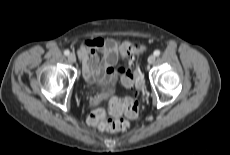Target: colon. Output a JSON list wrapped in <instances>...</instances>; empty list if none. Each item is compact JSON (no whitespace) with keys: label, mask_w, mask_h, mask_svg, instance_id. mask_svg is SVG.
Here are the masks:
<instances>
[{"label":"colon","mask_w":230,"mask_h":155,"mask_svg":"<svg viewBox=\"0 0 230 155\" xmlns=\"http://www.w3.org/2000/svg\"><path fill=\"white\" fill-rule=\"evenodd\" d=\"M140 50L141 47L135 44L129 43L125 47V57L128 64L131 63L134 55ZM125 74L131 81L140 83V75L133 72L130 67L125 69ZM108 106L115 114H119L124 109L128 118L135 119L138 116V103L133 98L126 99L123 104H121L117 99H111L108 102ZM87 122L99 130L109 132H125L130 128V123L123 118H109L105 108H98L92 111L87 117Z\"/></svg>","instance_id":"5ec220e1"}]
</instances>
